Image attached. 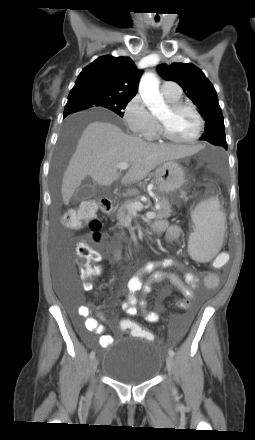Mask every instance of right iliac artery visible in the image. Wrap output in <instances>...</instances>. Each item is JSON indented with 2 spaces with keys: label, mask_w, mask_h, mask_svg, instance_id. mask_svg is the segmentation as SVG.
Instances as JSON below:
<instances>
[{
  "label": "right iliac artery",
  "mask_w": 255,
  "mask_h": 440,
  "mask_svg": "<svg viewBox=\"0 0 255 440\" xmlns=\"http://www.w3.org/2000/svg\"><path fill=\"white\" fill-rule=\"evenodd\" d=\"M94 357H95V352L92 351V352L90 353V359H93Z\"/></svg>",
  "instance_id": "1"
}]
</instances>
